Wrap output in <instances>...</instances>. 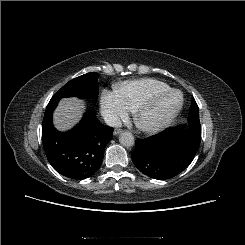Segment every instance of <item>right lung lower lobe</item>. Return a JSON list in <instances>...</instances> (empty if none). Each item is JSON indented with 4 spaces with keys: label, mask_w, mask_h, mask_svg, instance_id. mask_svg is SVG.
<instances>
[{
    "label": "right lung lower lobe",
    "mask_w": 245,
    "mask_h": 245,
    "mask_svg": "<svg viewBox=\"0 0 245 245\" xmlns=\"http://www.w3.org/2000/svg\"><path fill=\"white\" fill-rule=\"evenodd\" d=\"M58 102L47 105L42 123V142L49 163L61 175L83 180L100 167L113 128L99 123L93 111L68 132L57 131L52 114Z\"/></svg>",
    "instance_id": "obj_1"
}]
</instances>
